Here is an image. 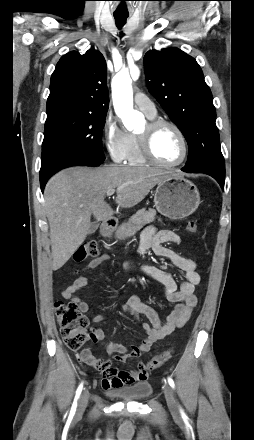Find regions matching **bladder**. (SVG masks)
<instances>
[{
  "label": "bladder",
  "instance_id": "bladder-1",
  "mask_svg": "<svg viewBox=\"0 0 254 440\" xmlns=\"http://www.w3.org/2000/svg\"><path fill=\"white\" fill-rule=\"evenodd\" d=\"M152 393V386L149 382H139L130 387L110 391L112 397L122 399L124 401H138L145 399Z\"/></svg>",
  "mask_w": 254,
  "mask_h": 440
}]
</instances>
